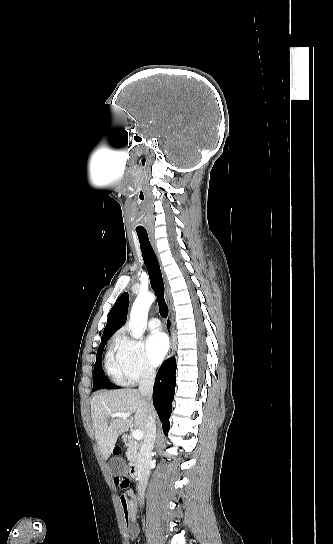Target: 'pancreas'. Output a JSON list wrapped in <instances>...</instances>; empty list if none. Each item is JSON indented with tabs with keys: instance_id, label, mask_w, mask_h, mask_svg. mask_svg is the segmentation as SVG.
<instances>
[{
	"instance_id": "cf45deb5",
	"label": "pancreas",
	"mask_w": 333,
	"mask_h": 544,
	"mask_svg": "<svg viewBox=\"0 0 333 544\" xmlns=\"http://www.w3.org/2000/svg\"><path fill=\"white\" fill-rule=\"evenodd\" d=\"M138 449H139L138 444H129V447L126 452V455L129 461L134 462L137 459Z\"/></svg>"
}]
</instances>
